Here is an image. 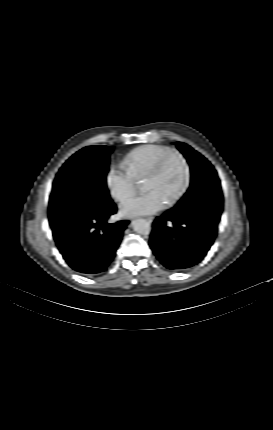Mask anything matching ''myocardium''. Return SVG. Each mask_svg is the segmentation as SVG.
<instances>
[{
    "mask_svg": "<svg viewBox=\"0 0 273 430\" xmlns=\"http://www.w3.org/2000/svg\"><path fill=\"white\" fill-rule=\"evenodd\" d=\"M173 157H176L181 161V163L184 167L185 176H184V181H183L180 189L176 192V194L173 197H171L167 201V203H166L167 206H172L175 203H177L184 196V194L186 193V191L188 190V187L190 185L191 169H190L189 162L187 161L185 156L177 150H174V149L170 150L169 152H167L164 156H162L160 158V160L157 162V164L154 166V168L146 176V179L159 177L163 173L168 161Z\"/></svg>",
    "mask_w": 273,
    "mask_h": 430,
    "instance_id": "f54148a6",
    "label": "myocardium"
}]
</instances>
